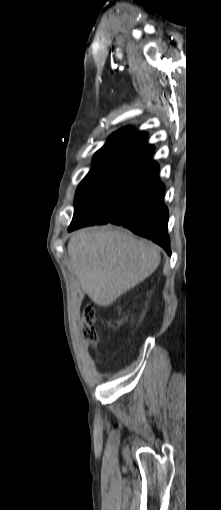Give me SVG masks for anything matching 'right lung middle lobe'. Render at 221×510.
Wrapping results in <instances>:
<instances>
[{"label": "right lung middle lobe", "mask_w": 221, "mask_h": 510, "mask_svg": "<svg viewBox=\"0 0 221 510\" xmlns=\"http://www.w3.org/2000/svg\"><path fill=\"white\" fill-rule=\"evenodd\" d=\"M150 155L128 151L94 157L93 167L76 191L75 207L86 205L95 216L115 214Z\"/></svg>", "instance_id": "obj_1"}]
</instances>
